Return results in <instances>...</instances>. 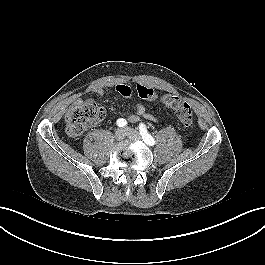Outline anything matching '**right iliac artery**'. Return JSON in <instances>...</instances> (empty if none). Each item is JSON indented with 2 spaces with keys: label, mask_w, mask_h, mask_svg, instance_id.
<instances>
[{
  "label": "right iliac artery",
  "mask_w": 265,
  "mask_h": 265,
  "mask_svg": "<svg viewBox=\"0 0 265 265\" xmlns=\"http://www.w3.org/2000/svg\"><path fill=\"white\" fill-rule=\"evenodd\" d=\"M116 124L119 126V127H124L127 125V121L123 118H120L117 120Z\"/></svg>",
  "instance_id": "82829eb1"
}]
</instances>
